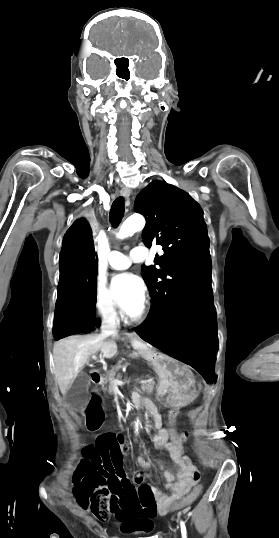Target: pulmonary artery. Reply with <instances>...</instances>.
<instances>
[{
	"instance_id": "e3ab8cb5",
	"label": "pulmonary artery",
	"mask_w": 279,
	"mask_h": 538,
	"mask_svg": "<svg viewBox=\"0 0 279 538\" xmlns=\"http://www.w3.org/2000/svg\"><path fill=\"white\" fill-rule=\"evenodd\" d=\"M142 258H131L129 254H125L116 250L110 252L107 264L111 269L124 270L127 269L132 262H141Z\"/></svg>"
}]
</instances>
